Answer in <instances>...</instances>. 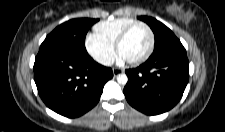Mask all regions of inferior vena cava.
Masks as SVG:
<instances>
[{
    "instance_id": "inferior-vena-cava-1",
    "label": "inferior vena cava",
    "mask_w": 225,
    "mask_h": 132,
    "mask_svg": "<svg viewBox=\"0 0 225 132\" xmlns=\"http://www.w3.org/2000/svg\"><path fill=\"white\" fill-rule=\"evenodd\" d=\"M99 62L105 66H111L114 63V59L113 58H104V59H101Z\"/></svg>"
}]
</instances>
